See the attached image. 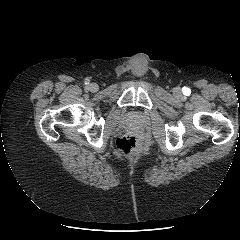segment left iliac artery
<instances>
[{"label":"left iliac artery","instance_id":"44dca946","mask_svg":"<svg viewBox=\"0 0 240 240\" xmlns=\"http://www.w3.org/2000/svg\"><path fill=\"white\" fill-rule=\"evenodd\" d=\"M184 92L187 93V92H189V90H188V89H185Z\"/></svg>","mask_w":240,"mask_h":240}]
</instances>
